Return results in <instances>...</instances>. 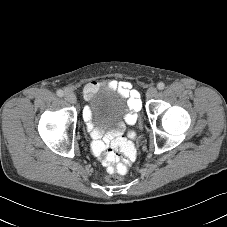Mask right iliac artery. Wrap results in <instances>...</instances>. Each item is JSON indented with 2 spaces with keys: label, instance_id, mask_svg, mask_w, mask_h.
<instances>
[{
  "label": "right iliac artery",
  "instance_id": "82829eb1",
  "mask_svg": "<svg viewBox=\"0 0 227 227\" xmlns=\"http://www.w3.org/2000/svg\"><path fill=\"white\" fill-rule=\"evenodd\" d=\"M57 95L59 96V97H62L63 95H64V92L62 91V90H57Z\"/></svg>",
  "mask_w": 227,
  "mask_h": 227
}]
</instances>
